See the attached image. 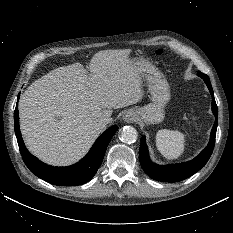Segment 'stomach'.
Segmentation results:
<instances>
[{
	"instance_id": "1",
	"label": "stomach",
	"mask_w": 233,
	"mask_h": 233,
	"mask_svg": "<svg viewBox=\"0 0 233 233\" xmlns=\"http://www.w3.org/2000/svg\"><path fill=\"white\" fill-rule=\"evenodd\" d=\"M142 66V77L151 95V103L136 109L138 119L146 124H158L165 116L164 108L170 100V86L164 75L142 58L132 59Z\"/></svg>"
}]
</instances>
